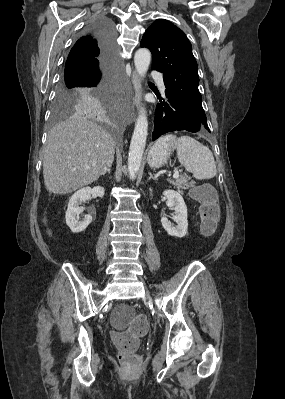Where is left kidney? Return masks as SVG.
Here are the masks:
<instances>
[{
	"label": "left kidney",
	"mask_w": 285,
	"mask_h": 399,
	"mask_svg": "<svg viewBox=\"0 0 285 399\" xmlns=\"http://www.w3.org/2000/svg\"><path fill=\"white\" fill-rule=\"evenodd\" d=\"M163 195L167 198V206L175 210L173 216L174 221L177 223L176 227H172L170 221L166 217L161 218L163 228L170 236L182 238L187 233V206L180 193L174 190H165Z\"/></svg>",
	"instance_id": "left-kidney-1"
}]
</instances>
